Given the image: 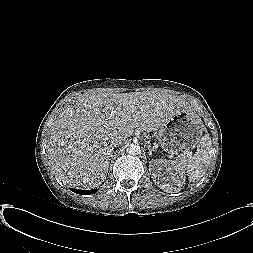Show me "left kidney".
Segmentation results:
<instances>
[{"instance_id": "5707ae66", "label": "left kidney", "mask_w": 253, "mask_h": 253, "mask_svg": "<svg viewBox=\"0 0 253 253\" xmlns=\"http://www.w3.org/2000/svg\"><path fill=\"white\" fill-rule=\"evenodd\" d=\"M152 164L153 181H157L156 183L161 189L166 192L180 191L186 179L183 171L179 170L172 162L163 159L154 160Z\"/></svg>"}]
</instances>
